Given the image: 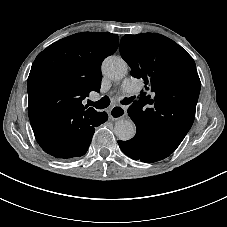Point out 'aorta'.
<instances>
[{"label":"aorta","instance_id":"1","mask_svg":"<svg viewBox=\"0 0 227 227\" xmlns=\"http://www.w3.org/2000/svg\"><path fill=\"white\" fill-rule=\"evenodd\" d=\"M127 70V63L117 56L107 57L102 64L103 74L112 80L123 79L127 74ZM114 132L119 140L127 141L134 137L136 127L131 120L121 119L116 122Z\"/></svg>","mask_w":227,"mask_h":227}]
</instances>
